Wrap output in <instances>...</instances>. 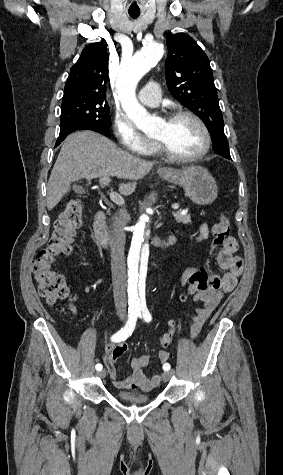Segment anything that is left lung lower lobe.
<instances>
[{"instance_id":"1","label":"left lung lower lobe","mask_w":283,"mask_h":475,"mask_svg":"<svg viewBox=\"0 0 283 475\" xmlns=\"http://www.w3.org/2000/svg\"><path fill=\"white\" fill-rule=\"evenodd\" d=\"M212 137V144L214 152L224 158L231 159L229 153V145L225 135H214Z\"/></svg>"}]
</instances>
